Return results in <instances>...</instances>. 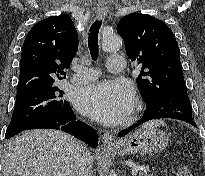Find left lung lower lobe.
I'll list each match as a JSON object with an SVG mask.
<instances>
[{
    "instance_id": "obj_1",
    "label": "left lung lower lobe",
    "mask_w": 205,
    "mask_h": 176,
    "mask_svg": "<svg viewBox=\"0 0 205 176\" xmlns=\"http://www.w3.org/2000/svg\"><path fill=\"white\" fill-rule=\"evenodd\" d=\"M146 108L142 118L130 128L121 131L119 136H125L136 127L153 119L173 118L186 121L196 127L186 88H170L149 100Z\"/></svg>"
}]
</instances>
